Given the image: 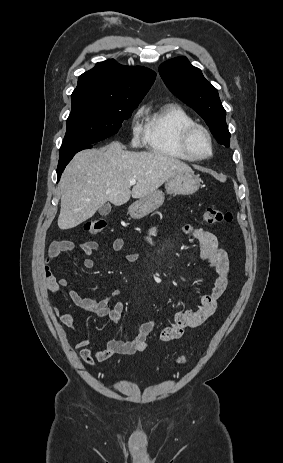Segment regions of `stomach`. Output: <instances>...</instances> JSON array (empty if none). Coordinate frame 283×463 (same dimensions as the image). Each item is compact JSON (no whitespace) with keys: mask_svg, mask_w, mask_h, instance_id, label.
I'll return each mask as SVG.
<instances>
[{"mask_svg":"<svg viewBox=\"0 0 283 463\" xmlns=\"http://www.w3.org/2000/svg\"><path fill=\"white\" fill-rule=\"evenodd\" d=\"M201 179L193 172L176 175L170 178L165 189L168 194L190 195L195 193L200 186ZM164 202V193L156 190L153 193L139 198L128 209L130 216L134 219H141L154 210L158 209Z\"/></svg>","mask_w":283,"mask_h":463,"instance_id":"0dacf381","label":"stomach"}]
</instances>
